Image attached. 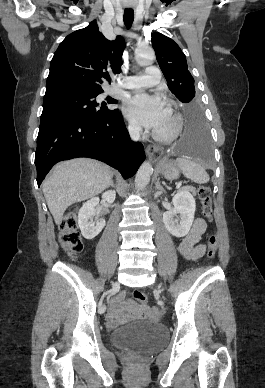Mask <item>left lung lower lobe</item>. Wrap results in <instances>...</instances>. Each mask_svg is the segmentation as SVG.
<instances>
[{"label":"left lung lower lobe","instance_id":"obj_1","mask_svg":"<svg viewBox=\"0 0 265 388\" xmlns=\"http://www.w3.org/2000/svg\"><path fill=\"white\" fill-rule=\"evenodd\" d=\"M174 152L203 162L211 160L209 131L200 108L186 111L184 133Z\"/></svg>","mask_w":265,"mask_h":388}]
</instances>
